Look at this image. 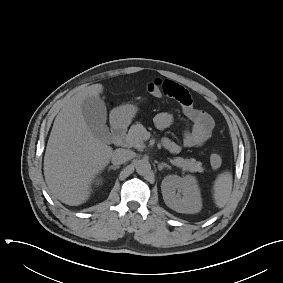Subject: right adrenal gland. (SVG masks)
I'll return each mask as SVG.
<instances>
[{"label":"right adrenal gland","instance_id":"1","mask_svg":"<svg viewBox=\"0 0 283 283\" xmlns=\"http://www.w3.org/2000/svg\"><path fill=\"white\" fill-rule=\"evenodd\" d=\"M119 168H120V166H109L108 167V171H110V170H117Z\"/></svg>","mask_w":283,"mask_h":283}]
</instances>
